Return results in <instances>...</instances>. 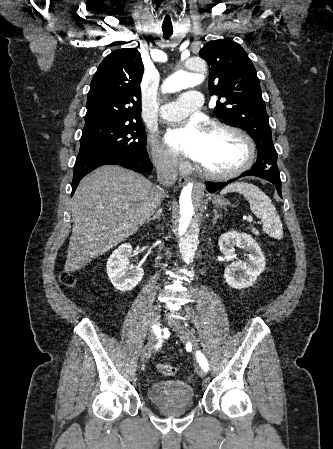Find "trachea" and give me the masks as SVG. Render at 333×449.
Masks as SVG:
<instances>
[{
  "mask_svg": "<svg viewBox=\"0 0 333 449\" xmlns=\"http://www.w3.org/2000/svg\"><path fill=\"white\" fill-rule=\"evenodd\" d=\"M162 31H163V36L165 39H168L173 34L172 26L162 27Z\"/></svg>",
  "mask_w": 333,
  "mask_h": 449,
  "instance_id": "trachea-1",
  "label": "trachea"
}]
</instances>
